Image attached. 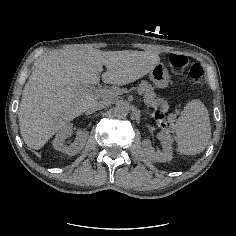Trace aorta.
Listing matches in <instances>:
<instances>
[{
  "instance_id": "aorta-1",
  "label": "aorta",
  "mask_w": 236,
  "mask_h": 236,
  "mask_svg": "<svg viewBox=\"0 0 236 236\" xmlns=\"http://www.w3.org/2000/svg\"><path fill=\"white\" fill-rule=\"evenodd\" d=\"M129 110V104L125 101H121L115 105L114 113L116 116L125 117L129 113Z\"/></svg>"
}]
</instances>
